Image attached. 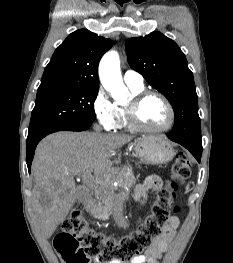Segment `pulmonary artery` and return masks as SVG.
I'll list each match as a JSON object with an SVG mask.
<instances>
[{"mask_svg":"<svg viewBox=\"0 0 233 263\" xmlns=\"http://www.w3.org/2000/svg\"><path fill=\"white\" fill-rule=\"evenodd\" d=\"M123 79L128 86L142 87L144 85L143 76L139 72L131 69L125 71Z\"/></svg>","mask_w":233,"mask_h":263,"instance_id":"obj_1","label":"pulmonary artery"}]
</instances>
